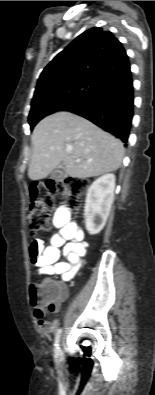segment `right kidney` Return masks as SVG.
<instances>
[{
  "mask_svg": "<svg viewBox=\"0 0 155 395\" xmlns=\"http://www.w3.org/2000/svg\"><path fill=\"white\" fill-rule=\"evenodd\" d=\"M114 189V174L101 176L89 187L84 207L85 225L89 234H98L105 226L114 200Z\"/></svg>",
  "mask_w": 155,
  "mask_h": 395,
  "instance_id": "1",
  "label": "right kidney"
}]
</instances>
